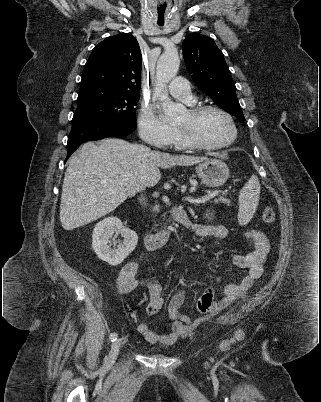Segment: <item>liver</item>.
Masks as SVG:
<instances>
[{"instance_id":"1","label":"liver","mask_w":321,"mask_h":402,"mask_svg":"<svg viewBox=\"0 0 321 402\" xmlns=\"http://www.w3.org/2000/svg\"><path fill=\"white\" fill-rule=\"evenodd\" d=\"M206 160L151 151L118 138L104 139L99 145L87 142L71 158L65 172L61 225L70 231L112 212L128 197L155 186L161 178L158 167L189 166Z\"/></svg>"}]
</instances>
